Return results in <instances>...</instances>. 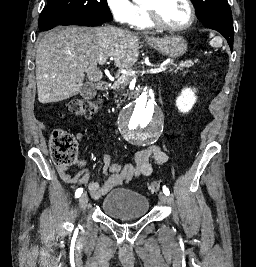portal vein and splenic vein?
I'll list each match as a JSON object with an SVG mask.
<instances>
[{
	"label": "portal vein and splenic vein",
	"instance_id": "1",
	"mask_svg": "<svg viewBox=\"0 0 256 267\" xmlns=\"http://www.w3.org/2000/svg\"><path fill=\"white\" fill-rule=\"evenodd\" d=\"M99 64H106V60L104 62V60H101V62H99ZM167 67H170V64H161L160 68H150V70H148V73H151V74H156L157 71H164L166 70ZM132 71V68H129V69H126V70H121V74H127V76H135V74L137 73V70H133V72H130Z\"/></svg>",
	"mask_w": 256,
	"mask_h": 267
}]
</instances>
